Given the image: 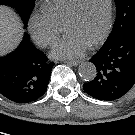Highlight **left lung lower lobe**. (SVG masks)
<instances>
[{
  "instance_id": "1",
  "label": "left lung lower lobe",
  "mask_w": 135,
  "mask_h": 135,
  "mask_svg": "<svg viewBox=\"0 0 135 135\" xmlns=\"http://www.w3.org/2000/svg\"><path fill=\"white\" fill-rule=\"evenodd\" d=\"M90 61L97 74L83 84L87 94L104 101L125 95L135 84V27L124 36L107 40Z\"/></svg>"
}]
</instances>
